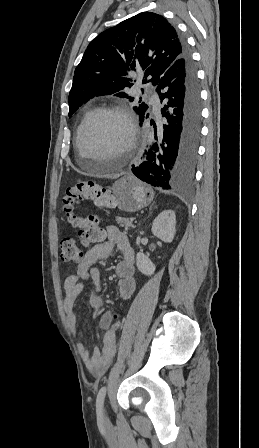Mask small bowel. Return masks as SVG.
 Instances as JSON below:
<instances>
[{
	"mask_svg": "<svg viewBox=\"0 0 259 448\" xmlns=\"http://www.w3.org/2000/svg\"><path fill=\"white\" fill-rule=\"evenodd\" d=\"M105 234L107 240L90 248L78 264L76 273L68 276L64 282L66 295L63 307L69 328L77 336H79V330L75 303L84 289L85 281L92 283L89 294L90 305L95 309H100L104 304L100 295V273L94 266L97 261L108 258L113 249L117 248L121 259L115 266V275L118 278L117 289L120 297L128 299L136 287L134 279L135 254L128 237L114 226H107ZM112 315V311H106L101 317L100 326L104 330L102 349L96 347L90 351L82 343L78 346L86 368L95 377H101L105 373L117 351L116 335L119 328L113 326Z\"/></svg>",
	"mask_w": 259,
	"mask_h": 448,
	"instance_id": "obj_1",
	"label": "small bowel"
}]
</instances>
